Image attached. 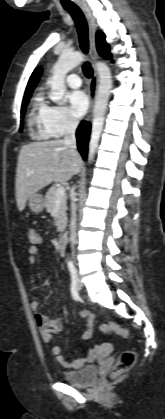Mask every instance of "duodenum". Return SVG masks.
Instances as JSON below:
<instances>
[{
    "instance_id": "410a0bca",
    "label": "duodenum",
    "mask_w": 165,
    "mask_h": 419,
    "mask_svg": "<svg viewBox=\"0 0 165 419\" xmlns=\"http://www.w3.org/2000/svg\"><path fill=\"white\" fill-rule=\"evenodd\" d=\"M66 235H61L57 242L58 251L60 254L65 253V247H66Z\"/></svg>"
}]
</instances>
